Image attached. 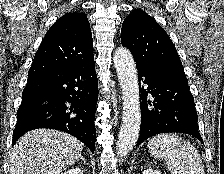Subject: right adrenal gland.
Wrapping results in <instances>:
<instances>
[{"label":"right adrenal gland","instance_id":"2a0ac1e0","mask_svg":"<svg viewBox=\"0 0 224 174\" xmlns=\"http://www.w3.org/2000/svg\"><path fill=\"white\" fill-rule=\"evenodd\" d=\"M79 160H82V161H83V163H84V164H86V161H85V159H84V157H83V156H81V157H80V159H78V160H77V162H78Z\"/></svg>","mask_w":224,"mask_h":174}]
</instances>
